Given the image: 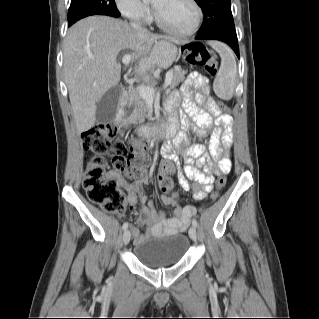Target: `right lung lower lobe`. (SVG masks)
Returning <instances> with one entry per match:
<instances>
[{"label":"right lung lower lobe","instance_id":"right-lung-lower-lobe-1","mask_svg":"<svg viewBox=\"0 0 319 319\" xmlns=\"http://www.w3.org/2000/svg\"><path fill=\"white\" fill-rule=\"evenodd\" d=\"M119 16H120V13L118 15H116V16H113V17H119Z\"/></svg>","mask_w":319,"mask_h":319}]
</instances>
